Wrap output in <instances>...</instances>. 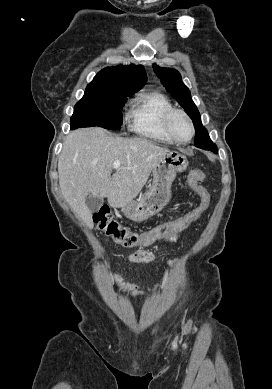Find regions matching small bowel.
<instances>
[{"instance_id":"obj_1","label":"small bowel","mask_w":272,"mask_h":389,"mask_svg":"<svg viewBox=\"0 0 272 389\" xmlns=\"http://www.w3.org/2000/svg\"><path fill=\"white\" fill-rule=\"evenodd\" d=\"M178 234L165 236L162 239L166 241H176ZM154 256L150 253L144 251H135L128 255L127 260L129 262H152ZM172 265L175 264L174 261L171 262ZM112 280L116 284L118 290L122 293L127 294L130 297L142 296L144 294V289L137 284L124 282L121 278V275L118 271L113 272Z\"/></svg>"}]
</instances>
